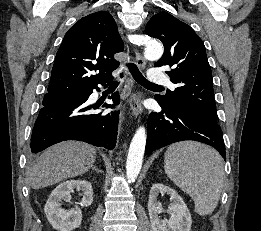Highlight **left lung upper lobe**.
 <instances>
[{
	"mask_svg": "<svg viewBox=\"0 0 261 231\" xmlns=\"http://www.w3.org/2000/svg\"><path fill=\"white\" fill-rule=\"evenodd\" d=\"M145 33L162 41L164 54L154 66L173 67L167 74L177 86L174 91L167 90L165 96L155 98L167 106H184L217 122L212 74L200 37L167 12L154 15Z\"/></svg>",
	"mask_w": 261,
	"mask_h": 231,
	"instance_id": "obj_1",
	"label": "left lung upper lobe"
}]
</instances>
